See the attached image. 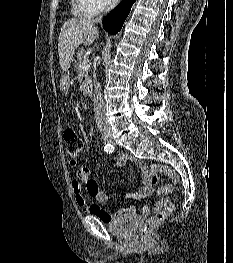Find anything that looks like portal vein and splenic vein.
Wrapping results in <instances>:
<instances>
[{
	"label": "portal vein and splenic vein",
	"mask_w": 233,
	"mask_h": 263,
	"mask_svg": "<svg viewBox=\"0 0 233 263\" xmlns=\"http://www.w3.org/2000/svg\"><path fill=\"white\" fill-rule=\"evenodd\" d=\"M89 67H90V62H89L88 59H87L86 61H84V62L81 64V66H80L81 69H88Z\"/></svg>",
	"instance_id": "18ae733b"
}]
</instances>
